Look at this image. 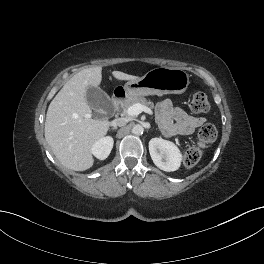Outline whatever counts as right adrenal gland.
<instances>
[{
    "label": "right adrenal gland",
    "mask_w": 264,
    "mask_h": 264,
    "mask_svg": "<svg viewBox=\"0 0 264 264\" xmlns=\"http://www.w3.org/2000/svg\"><path fill=\"white\" fill-rule=\"evenodd\" d=\"M111 130H117V127H113V128H111Z\"/></svg>",
    "instance_id": "right-adrenal-gland-1"
}]
</instances>
